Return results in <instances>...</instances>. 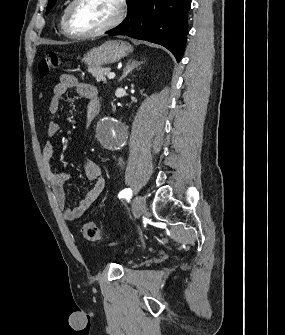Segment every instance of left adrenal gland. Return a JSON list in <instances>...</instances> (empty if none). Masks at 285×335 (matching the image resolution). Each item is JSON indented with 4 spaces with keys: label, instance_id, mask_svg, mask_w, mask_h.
Returning a JSON list of instances; mask_svg holds the SVG:
<instances>
[{
    "label": "left adrenal gland",
    "instance_id": "1",
    "mask_svg": "<svg viewBox=\"0 0 285 335\" xmlns=\"http://www.w3.org/2000/svg\"><path fill=\"white\" fill-rule=\"evenodd\" d=\"M140 64H143V62H136V60H128L124 70H123V74L119 80V82H122L123 78H126V76H128V74H130V72H133V70H135V68H138V66H140Z\"/></svg>",
    "mask_w": 285,
    "mask_h": 335
}]
</instances>
